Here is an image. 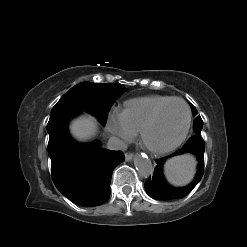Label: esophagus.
Here are the masks:
<instances>
[{"label":"esophagus","mask_w":247,"mask_h":247,"mask_svg":"<svg viewBox=\"0 0 247 247\" xmlns=\"http://www.w3.org/2000/svg\"><path fill=\"white\" fill-rule=\"evenodd\" d=\"M134 155L131 152L125 153V159L126 161H131L133 159Z\"/></svg>","instance_id":"obj_1"}]
</instances>
